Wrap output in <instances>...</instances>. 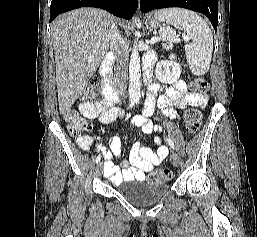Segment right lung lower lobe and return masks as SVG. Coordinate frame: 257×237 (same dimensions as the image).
Returning a JSON list of instances; mask_svg holds the SVG:
<instances>
[{"label": "right lung lower lobe", "instance_id": "98d812e1", "mask_svg": "<svg viewBox=\"0 0 257 237\" xmlns=\"http://www.w3.org/2000/svg\"><path fill=\"white\" fill-rule=\"evenodd\" d=\"M81 7L101 8L129 20L138 7V0H52L50 22L63 12Z\"/></svg>", "mask_w": 257, "mask_h": 237}]
</instances>
